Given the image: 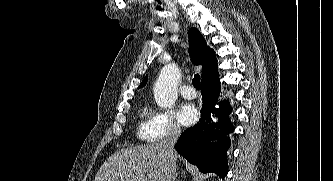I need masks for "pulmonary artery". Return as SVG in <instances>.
<instances>
[{
    "instance_id": "e3ab8cb5",
    "label": "pulmonary artery",
    "mask_w": 333,
    "mask_h": 181,
    "mask_svg": "<svg viewBox=\"0 0 333 181\" xmlns=\"http://www.w3.org/2000/svg\"><path fill=\"white\" fill-rule=\"evenodd\" d=\"M180 93L185 99H194L197 95L194 88L188 84L181 87Z\"/></svg>"
}]
</instances>
